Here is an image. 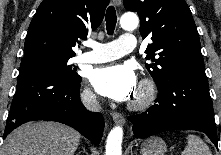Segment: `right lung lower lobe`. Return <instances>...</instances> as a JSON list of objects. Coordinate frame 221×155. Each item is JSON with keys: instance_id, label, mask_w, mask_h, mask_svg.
I'll use <instances>...</instances> for the list:
<instances>
[{"instance_id": "98d812e1", "label": "right lung lower lobe", "mask_w": 221, "mask_h": 155, "mask_svg": "<svg viewBox=\"0 0 221 155\" xmlns=\"http://www.w3.org/2000/svg\"><path fill=\"white\" fill-rule=\"evenodd\" d=\"M81 78L66 81L40 67L20 70L17 90L8 115L4 138L23 123L51 120L73 127L90 141L99 144L104 119L88 111L79 99Z\"/></svg>"}]
</instances>
